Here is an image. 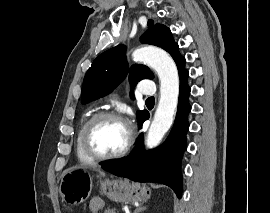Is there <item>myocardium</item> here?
Listing matches in <instances>:
<instances>
[{
  "label": "myocardium",
  "mask_w": 270,
  "mask_h": 213,
  "mask_svg": "<svg viewBox=\"0 0 270 213\" xmlns=\"http://www.w3.org/2000/svg\"><path fill=\"white\" fill-rule=\"evenodd\" d=\"M108 119H114V120H118L125 123L128 127V138H127L126 145L120 151L113 154H109V155H102V154L97 153L92 148L91 136L95 128L102 121L108 120ZM133 142H134V137H133V131L130 124L121 114L114 111H103V112L93 115L90 118V120L87 122L83 131V135H82L83 150L91 159L95 161H108V160H115V159L122 158L130 151L133 145Z\"/></svg>",
  "instance_id": "1"
}]
</instances>
